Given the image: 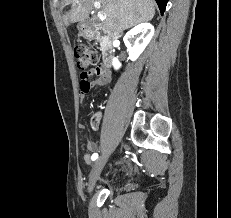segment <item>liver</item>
<instances>
[{"mask_svg":"<svg viewBox=\"0 0 231 218\" xmlns=\"http://www.w3.org/2000/svg\"><path fill=\"white\" fill-rule=\"evenodd\" d=\"M95 1L63 0L62 7L71 4V9L63 15L65 25L88 19ZM99 2L100 12L106 15L102 28L112 36H119L124 30L150 21L155 15L154 0H99Z\"/></svg>","mask_w":231,"mask_h":218,"instance_id":"1","label":"liver"}]
</instances>
